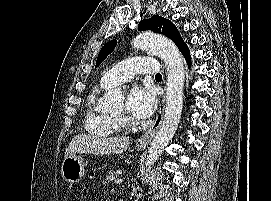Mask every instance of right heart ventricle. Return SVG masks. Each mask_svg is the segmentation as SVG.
Instances as JSON below:
<instances>
[{
	"instance_id": "1",
	"label": "right heart ventricle",
	"mask_w": 271,
	"mask_h": 201,
	"mask_svg": "<svg viewBox=\"0 0 271 201\" xmlns=\"http://www.w3.org/2000/svg\"><path fill=\"white\" fill-rule=\"evenodd\" d=\"M99 95L100 91L96 89L88 97L85 128L90 134L99 137L116 135L123 130V122L119 118L102 111L98 107L97 101Z\"/></svg>"
}]
</instances>
